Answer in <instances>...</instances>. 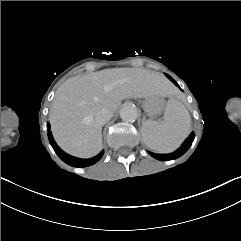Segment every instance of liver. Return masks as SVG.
I'll return each instance as SVG.
<instances>
[{"label": "liver", "instance_id": "liver-1", "mask_svg": "<svg viewBox=\"0 0 241 241\" xmlns=\"http://www.w3.org/2000/svg\"><path fill=\"white\" fill-rule=\"evenodd\" d=\"M169 81L159 72L116 68L77 75L56 91L50 108L51 131L58 146L70 155L90 158L103 148L102 126L96 114L116 112L126 98L168 96Z\"/></svg>", "mask_w": 241, "mask_h": 241}]
</instances>
